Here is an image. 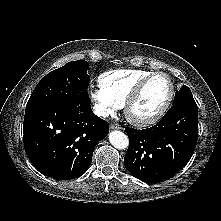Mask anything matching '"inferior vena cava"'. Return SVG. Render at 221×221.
I'll list each match as a JSON object with an SVG mask.
<instances>
[{
	"mask_svg": "<svg viewBox=\"0 0 221 221\" xmlns=\"http://www.w3.org/2000/svg\"><path fill=\"white\" fill-rule=\"evenodd\" d=\"M93 109H94V113L98 116L108 117L109 115L107 109L101 105H95Z\"/></svg>",
	"mask_w": 221,
	"mask_h": 221,
	"instance_id": "obj_1",
	"label": "inferior vena cava"
}]
</instances>
